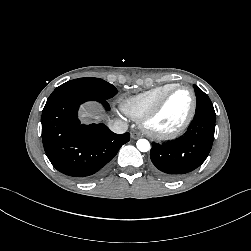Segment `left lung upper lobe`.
I'll use <instances>...</instances> for the list:
<instances>
[{
    "label": "left lung upper lobe",
    "mask_w": 251,
    "mask_h": 251,
    "mask_svg": "<svg viewBox=\"0 0 251 251\" xmlns=\"http://www.w3.org/2000/svg\"><path fill=\"white\" fill-rule=\"evenodd\" d=\"M196 97H197V106L196 112H205L209 114H215L213 105L207 94H205L198 86H194Z\"/></svg>",
    "instance_id": "obj_1"
}]
</instances>
